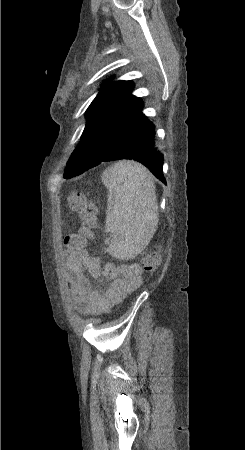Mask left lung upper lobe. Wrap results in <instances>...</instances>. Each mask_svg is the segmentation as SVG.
<instances>
[{"instance_id":"left-lung-upper-lobe-1","label":"left lung upper lobe","mask_w":245,"mask_h":450,"mask_svg":"<svg viewBox=\"0 0 245 450\" xmlns=\"http://www.w3.org/2000/svg\"><path fill=\"white\" fill-rule=\"evenodd\" d=\"M131 81L104 83L86 111L88 119L79 147L74 150L65 169L64 178L83 173L100 163V157L109 150L121 149L140 129L146 116L142 113L143 102L131 94ZM95 145L107 148L99 157L79 153L81 147Z\"/></svg>"}]
</instances>
